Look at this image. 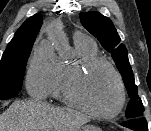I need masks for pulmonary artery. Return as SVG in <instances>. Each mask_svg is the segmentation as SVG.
Returning <instances> with one entry per match:
<instances>
[{"label":"pulmonary artery","mask_w":151,"mask_h":131,"mask_svg":"<svg viewBox=\"0 0 151 131\" xmlns=\"http://www.w3.org/2000/svg\"><path fill=\"white\" fill-rule=\"evenodd\" d=\"M74 38L75 39H89L85 34H83L81 32H76L74 34Z\"/></svg>","instance_id":"obj_1"}]
</instances>
